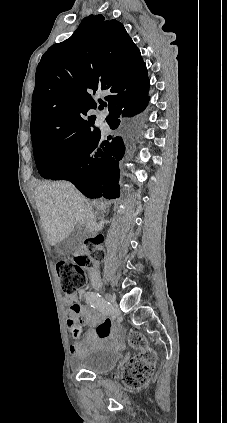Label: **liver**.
Segmentation results:
<instances>
[{"mask_svg":"<svg viewBox=\"0 0 227 423\" xmlns=\"http://www.w3.org/2000/svg\"><path fill=\"white\" fill-rule=\"evenodd\" d=\"M34 200L50 245H56L72 233L76 223L86 225L83 206L88 202L70 182H50L35 188ZM89 229L97 231V223Z\"/></svg>","mask_w":227,"mask_h":423,"instance_id":"liver-1","label":"liver"}]
</instances>
